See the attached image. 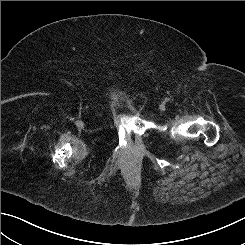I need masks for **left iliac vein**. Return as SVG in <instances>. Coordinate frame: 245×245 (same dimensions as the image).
<instances>
[{"mask_svg":"<svg viewBox=\"0 0 245 245\" xmlns=\"http://www.w3.org/2000/svg\"><path fill=\"white\" fill-rule=\"evenodd\" d=\"M160 109H161V110H164V109H165V105H164V104H161V105H160Z\"/></svg>","mask_w":245,"mask_h":245,"instance_id":"4c4485c4","label":"left iliac vein"}]
</instances>
